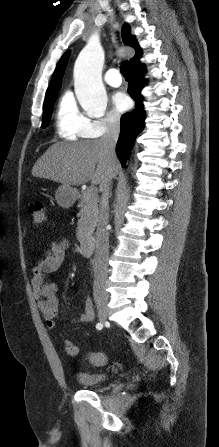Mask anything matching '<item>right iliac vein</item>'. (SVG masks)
Listing matches in <instances>:
<instances>
[{
	"label": "right iliac vein",
	"mask_w": 219,
	"mask_h": 447,
	"mask_svg": "<svg viewBox=\"0 0 219 447\" xmlns=\"http://www.w3.org/2000/svg\"><path fill=\"white\" fill-rule=\"evenodd\" d=\"M107 308L105 306H99L98 308V318L100 322L104 323L107 319Z\"/></svg>",
	"instance_id": "63e3f726"
}]
</instances>
